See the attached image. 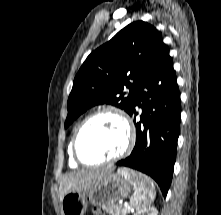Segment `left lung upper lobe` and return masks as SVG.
I'll use <instances>...</instances> for the list:
<instances>
[{
	"label": "left lung upper lobe",
	"instance_id": "obj_1",
	"mask_svg": "<svg viewBox=\"0 0 221 215\" xmlns=\"http://www.w3.org/2000/svg\"><path fill=\"white\" fill-rule=\"evenodd\" d=\"M162 44L153 25L135 21L94 50L75 76L65 128L97 104H111L129 114L137 89Z\"/></svg>",
	"mask_w": 221,
	"mask_h": 215
}]
</instances>
